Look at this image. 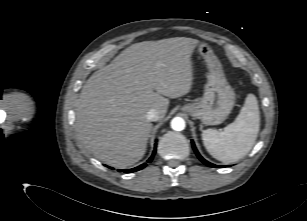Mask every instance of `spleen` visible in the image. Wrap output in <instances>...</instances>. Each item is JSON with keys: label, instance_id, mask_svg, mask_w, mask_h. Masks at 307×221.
<instances>
[{"label": "spleen", "instance_id": "1", "mask_svg": "<svg viewBox=\"0 0 307 221\" xmlns=\"http://www.w3.org/2000/svg\"><path fill=\"white\" fill-rule=\"evenodd\" d=\"M260 128V112L255 95L248 94L235 121L223 131L206 129L203 144L208 153L223 163H234L252 149Z\"/></svg>", "mask_w": 307, "mask_h": 221}]
</instances>
